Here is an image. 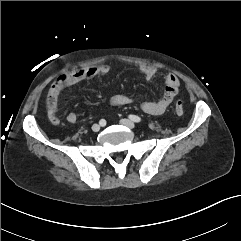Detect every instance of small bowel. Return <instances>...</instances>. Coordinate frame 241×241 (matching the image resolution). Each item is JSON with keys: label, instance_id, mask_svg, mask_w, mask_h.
Listing matches in <instances>:
<instances>
[{"label": "small bowel", "instance_id": "obj_1", "mask_svg": "<svg viewBox=\"0 0 241 241\" xmlns=\"http://www.w3.org/2000/svg\"><path fill=\"white\" fill-rule=\"evenodd\" d=\"M111 70L110 66L107 64L85 67L71 72L74 75V80L68 82L66 86L56 87L54 84L51 86L47 97V114L49 121L53 125H59L60 120L58 118V103L62 91L78 82L94 79L109 73ZM139 72L148 81L152 80L157 73V70L152 66H142L139 68ZM165 87L161 97L156 101H145L141 103V109L150 115H160L162 114L168 106L171 104L173 98L177 94L180 81L178 77L174 74H166L164 76ZM113 106H123L129 105L134 102V100L125 95H114L111 100ZM66 120L69 123H75L77 121V115L74 112H69L66 115Z\"/></svg>", "mask_w": 241, "mask_h": 241}]
</instances>
